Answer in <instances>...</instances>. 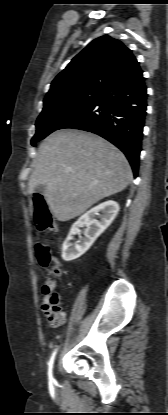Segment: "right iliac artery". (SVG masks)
I'll return each mask as SVG.
<instances>
[{
    "instance_id": "1",
    "label": "right iliac artery",
    "mask_w": 168,
    "mask_h": 415,
    "mask_svg": "<svg viewBox=\"0 0 168 415\" xmlns=\"http://www.w3.org/2000/svg\"><path fill=\"white\" fill-rule=\"evenodd\" d=\"M57 350H55L51 356V359L49 361L48 364V377L49 380L52 381L53 380V376H52V369H53V364H54V359H55V355H56Z\"/></svg>"
}]
</instances>
